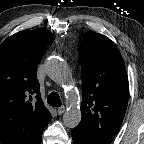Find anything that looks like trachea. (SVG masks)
Returning <instances> with one entry per match:
<instances>
[{
  "mask_svg": "<svg viewBox=\"0 0 144 144\" xmlns=\"http://www.w3.org/2000/svg\"><path fill=\"white\" fill-rule=\"evenodd\" d=\"M47 102L53 107H60L62 104L60 96L56 92H51L49 94Z\"/></svg>",
  "mask_w": 144,
  "mask_h": 144,
  "instance_id": "trachea-1",
  "label": "trachea"
}]
</instances>
